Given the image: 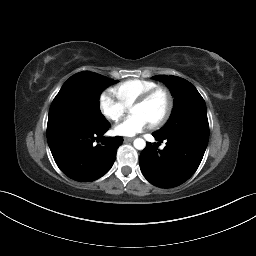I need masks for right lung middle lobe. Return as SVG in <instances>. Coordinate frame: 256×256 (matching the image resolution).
<instances>
[{
  "mask_svg": "<svg viewBox=\"0 0 256 256\" xmlns=\"http://www.w3.org/2000/svg\"><path fill=\"white\" fill-rule=\"evenodd\" d=\"M116 82L85 71L71 76L51 104L48 125L77 124L93 129L108 125L100 112L99 97L103 89Z\"/></svg>",
  "mask_w": 256,
  "mask_h": 256,
  "instance_id": "dd1d6c3e",
  "label": "right lung middle lobe"
}]
</instances>
